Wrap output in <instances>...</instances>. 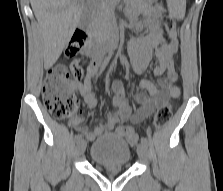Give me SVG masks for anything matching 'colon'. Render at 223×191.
I'll use <instances>...</instances> for the list:
<instances>
[{
    "mask_svg": "<svg viewBox=\"0 0 223 191\" xmlns=\"http://www.w3.org/2000/svg\"><path fill=\"white\" fill-rule=\"evenodd\" d=\"M164 27L169 36L176 32V23L173 18L167 16L163 19ZM86 41V36L77 33L66 46V54L74 56L82 48ZM170 46L167 42L162 44V53L167 55ZM168 72L175 70L176 62L171 56L165 57ZM84 70L78 62H72L69 67L64 64L54 65L48 72L43 86V102L51 115L57 120H65L76 113L78 104L73 92L72 78L81 81L84 78ZM72 77V78H71ZM172 109L170 104H166L157 109L152 120L154 129H161L170 120ZM118 134L125 137L130 145L136 146L139 142V135L129 127H121Z\"/></svg>",
    "mask_w": 223,
    "mask_h": 191,
    "instance_id": "obj_1",
    "label": "colon"
}]
</instances>
